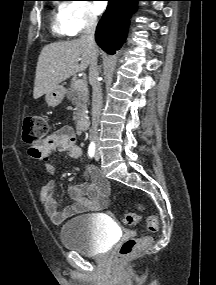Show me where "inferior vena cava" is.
<instances>
[{
    "label": "inferior vena cava",
    "mask_w": 216,
    "mask_h": 285,
    "mask_svg": "<svg viewBox=\"0 0 216 285\" xmlns=\"http://www.w3.org/2000/svg\"><path fill=\"white\" fill-rule=\"evenodd\" d=\"M97 25V17L89 15L86 21V26L81 36V41L88 44L91 49L90 68H89V81L92 86V126H93V139L98 141V123L102 108V89L99 81V71L97 67L98 51L96 48L94 34Z\"/></svg>",
    "instance_id": "inferior-vena-cava-1"
}]
</instances>
